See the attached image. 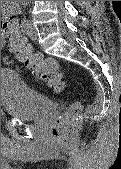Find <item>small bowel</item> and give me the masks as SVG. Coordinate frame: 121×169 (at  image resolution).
I'll return each mask as SVG.
<instances>
[{
    "mask_svg": "<svg viewBox=\"0 0 121 169\" xmlns=\"http://www.w3.org/2000/svg\"><path fill=\"white\" fill-rule=\"evenodd\" d=\"M18 12L17 6L14 4V1H1V13H2V21H1V33L2 39L1 44H5L4 33L8 30L15 29L19 31L18 22L16 19V14Z\"/></svg>",
    "mask_w": 121,
    "mask_h": 169,
    "instance_id": "1",
    "label": "small bowel"
}]
</instances>
